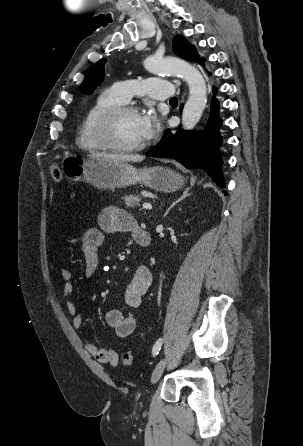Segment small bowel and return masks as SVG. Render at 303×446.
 Wrapping results in <instances>:
<instances>
[{
	"label": "small bowel",
	"instance_id": "1",
	"mask_svg": "<svg viewBox=\"0 0 303 446\" xmlns=\"http://www.w3.org/2000/svg\"><path fill=\"white\" fill-rule=\"evenodd\" d=\"M142 231L136 220L128 212L117 207H107L98 216V227H91L83 234L71 236L65 240L66 245H80L85 263V276L92 277L99 268V250L104 243L106 234L117 232L129 233L135 237ZM60 276L65 281L63 295L66 306L72 317V325L80 328L83 324V317L78 313L72 296L74 283L72 274L67 268H60ZM152 284V274L145 265H140L124 293V302L128 308V313L120 309L109 310L105 314L107 325L115 331L119 338H126L133 333L136 328V318L133 310L140 307L142 298ZM86 351L100 363H107L112 366L118 364V354L113 348H100L93 342H87Z\"/></svg>",
	"mask_w": 303,
	"mask_h": 446
}]
</instances>
